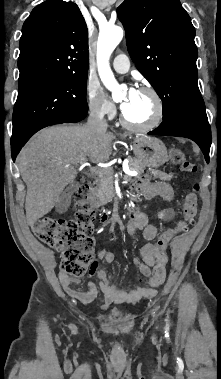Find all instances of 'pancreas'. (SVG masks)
Listing matches in <instances>:
<instances>
[{
    "label": "pancreas",
    "instance_id": "1",
    "mask_svg": "<svg viewBox=\"0 0 221 379\" xmlns=\"http://www.w3.org/2000/svg\"><path fill=\"white\" fill-rule=\"evenodd\" d=\"M129 168L133 171H136L139 175L144 173L145 165L136 158H129ZM150 174H152L155 178H159L161 180H171L173 178V174H167L165 172L151 169L148 170ZM128 180H131L130 176H127ZM95 184L97 185L92 189V194L99 198L102 203L110 202L114 197V187H113V169L107 168L104 169V173L99 175Z\"/></svg>",
    "mask_w": 221,
    "mask_h": 379
}]
</instances>
